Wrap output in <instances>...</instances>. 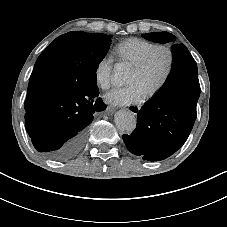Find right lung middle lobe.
<instances>
[{
	"mask_svg": "<svg viewBox=\"0 0 227 227\" xmlns=\"http://www.w3.org/2000/svg\"><path fill=\"white\" fill-rule=\"evenodd\" d=\"M111 44V36L69 32L57 37L38 57L36 64L68 74L64 90L80 94L97 88L96 70Z\"/></svg>",
	"mask_w": 227,
	"mask_h": 227,
	"instance_id": "1",
	"label": "right lung middle lobe"
}]
</instances>
